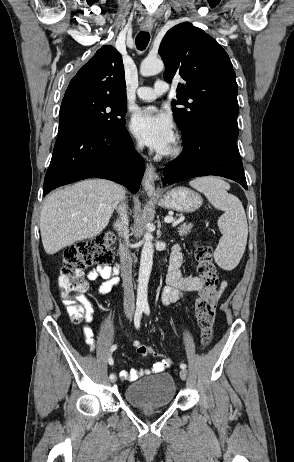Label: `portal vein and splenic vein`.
<instances>
[{
	"mask_svg": "<svg viewBox=\"0 0 294 462\" xmlns=\"http://www.w3.org/2000/svg\"><path fill=\"white\" fill-rule=\"evenodd\" d=\"M164 221H165L166 223H173L174 225H176L177 223L180 222V220L175 221V220L173 219V217H170V216L166 217V218L164 219Z\"/></svg>",
	"mask_w": 294,
	"mask_h": 462,
	"instance_id": "1",
	"label": "portal vein and splenic vein"
}]
</instances>
